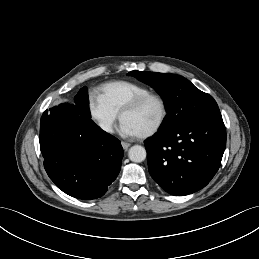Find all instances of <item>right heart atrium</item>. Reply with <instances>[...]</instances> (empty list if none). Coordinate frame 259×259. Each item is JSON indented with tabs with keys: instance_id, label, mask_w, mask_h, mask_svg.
<instances>
[{
	"instance_id": "obj_1",
	"label": "right heart atrium",
	"mask_w": 259,
	"mask_h": 259,
	"mask_svg": "<svg viewBox=\"0 0 259 259\" xmlns=\"http://www.w3.org/2000/svg\"><path fill=\"white\" fill-rule=\"evenodd\" d=\"M87 107L91 119L98 128L105 134H111L118 118L117 113L111 109L100 95L90 94Z\"/></svg>"
}]
</instances>
